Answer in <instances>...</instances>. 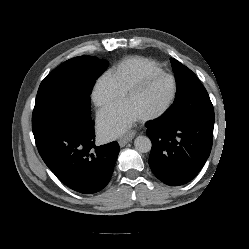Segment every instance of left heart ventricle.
Masks as SVG:
<instances>
[{
  "instance_id": "obj_1",
  "label": "left heart ventricle",
  "mask_w": 249,
  "mask_h": 249,
  "mask_svg": "<svg viewBox=\"0 0 249 249\" xmlns=\"http://www.w3.org/2000/svg\"><path fill=\"white\" fill-rule=\"evenodd\" d=\"M171 92V80L158 77L125 99V103L140 117L160 109L168 101Z\"/></svg>"
}]
</instances>
